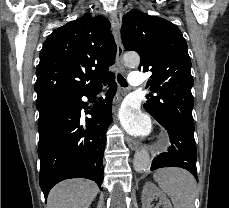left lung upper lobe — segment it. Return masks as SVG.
Masks as SVG:
<instances>
[{"instance_id": "left-lung-upper-lobe-1", "label": "left lung upper lobe", "mask_w": 229, "mask_h": 208, "mask_svg": "<svg viewBox=\"0 0 229 208\" xmlns=\"http://www.w3.org/2000/svg\"><path fill=\"white\" fill-rule=\"evenodd\" d=\"M121 36L124 48L140 55L139 70L152 72L148 85L156 95H147L146 111L194 126L191 59L180 29L163 18L130 11L123 16Z\"/></svg>"}]
</instances>
